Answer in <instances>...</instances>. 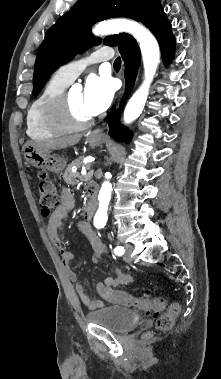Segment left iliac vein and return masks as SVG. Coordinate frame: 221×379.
Returning a JSON list of instances; mask_svg holds the SVG:
<instances>
[{"label":"left iliac vein","instance_id":"obj_1","mask_svg":"<svg viewBox=\"0 0 221 379\" xmlns=\"http://www.w3.org/2000/svg\"><path fill=\"white\" fill-rule=\"evenodd\" d=\"M125 249H126V252H125V255H124V260L128 263H131L132 262V258H131V252L133 250V247L131 245H125Z\"/></svg>","mask_w":221,"mask_h":379}]
</instances>
